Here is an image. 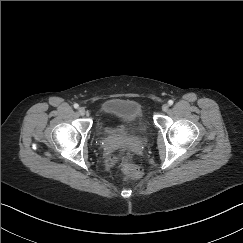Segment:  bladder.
<instances>
[{"instance_id": "obj_1", "label": "bladder", "mask_w": 243, "mask_h": 243, "mask_svg": "<svg viewBox=\"0 0 243 243\" xmlns=\"http://www.w3.org/2000/svg\"><path fill=\"white\" fill-rule=\"evenodd\" d=\"M116 120L123 124L125 140L144 138L148 132L147 119L141 105L129 99L109 98L98 116L95 131L102 134L105 124Z\"/></svg>"}]
</instances>
